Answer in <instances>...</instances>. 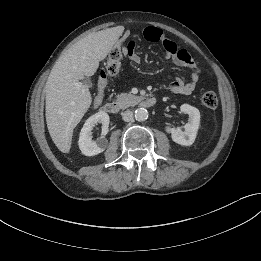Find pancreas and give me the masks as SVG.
Returning <instances> with one entry per match:
<instances>
[{
	"mask_svg": "<svg viewBox=\"0 0 261 261\" xmlns=\"http://www.w3.org/2000/svg\"><path fill=\"white\" fill-rule=\"evenodd\" d=\"M140 98L138 96H134L128 93H121L117 95L116 102L119 104L121 108H128L133 106L135 102H137Z\"/></svg>",
	"mask_w": 261,
	"mask_h": 261,
	"instance_id": "pancreas-1",
	"label": "pancreas"
}]
</instances>
